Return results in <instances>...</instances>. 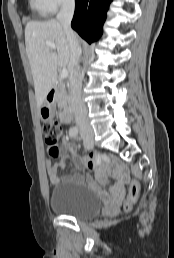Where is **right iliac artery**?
Instances as JSON below:
<instances>
[{"label": "right iliac artery", "mask_w": 174, "mask_h": 258, "mask_svg": "<svg viewBox=\"0 0 174 258\" xmlns=\"http://www.w3.org/2000/svg\"><path fill=\"white\" fill-rule=\"evenodd\" d=\"M77 133H78V131H77V129H75V128L70 129V131H69V135H70L71 137H76V136H77Z\"/></svg>", "instance_id": "obj_1"}]
</instances>
